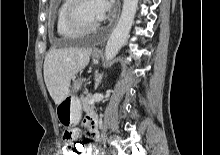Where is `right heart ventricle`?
Listing matches in <instances>:
<instances>
[{
    "mask_svg": "<svg viewBox=\"0 0 220 155\" xmlns=\"http://www.w3.org/2000/svg\"><path fill=\"white\" fill-rule=\"evenodd\" d=\"M70 0H62L56 11L55 26L57 34L63 38L74 39L83 35L70 28L65 21V11Z\"/></svg>",
    "mask_w": 220,
    "mask_h": 155,
    "instance_id": "obj_1",
    "label": "right heart ventricle"
}]
</instances>
